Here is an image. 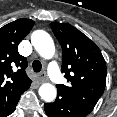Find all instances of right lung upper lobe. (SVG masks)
I'll return each mask as SVG.
<instances>
[{"instance_id": "obj_1", "label": "right lung upper lobe", "mask_w": 117, "mask_h": 117, "mask_svg": "<svg viewBox=\"0 0 117 117\" xmlns=\"http://www.w3.org/2000/svg\"><path fill=\"white\" fill-rule=\"evenodd\" d=\"M33 25V20L21 18L0 28V117L18 102L32 83L25 72L27 60L19 54L18 45ZM14 66L18 68L16 72Z\"/></svg>"}]
</instances>
